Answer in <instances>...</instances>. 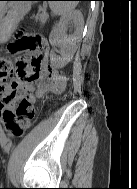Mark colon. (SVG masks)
Instances as JSON below:
<instances>
[{"instance_id": "5ec220e1", "label": "colon", "mask_w": 137, "mask_h": 189, "mask_svg": "<svg viewBox=\"0 0 137 189\" xmlns=\"http://www.w3.org/2000/svg\"><path fill=\"white\" fill-rule=\"evenodd\" d=\"M8 52L12 55H18L23 52L31 53L29 62L23 58H18L16 61V70L25 80L31 81L42 76L48 79L52 76L53 70L50 66H47L45 70L42 68V60L47 52V44L41 35L20 33L9 44ZM12 73V61L0 56V97L5 94L6 86L11 79ZM29 114L34 117V106L27 100L21 101L16 111L17 117L22 118Z\"/></svg>"}]
</instances>
